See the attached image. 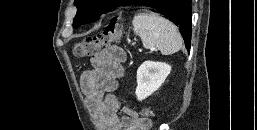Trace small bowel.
I'll list each match as a JSON object with an SVG mask.
<instances>
[{"label":"small bowel","instance_id":"1","mask_svg":"<svg viewBox=\"0 0 257 130\" xmlns=\"http://www.w3.org/2000/svg\"><path fill=\"white\" fill-rule=\"evenodd\" d=\"M124 60V52L116 46L96 53L92 69L81 75L82 92L103 130H149L151 121L140 118L132 108L125 106L123 116L118 114L120 105L113 92L124 74Z\"/></svg>","mask_w":257,"mask_h":130}]
</instances>
